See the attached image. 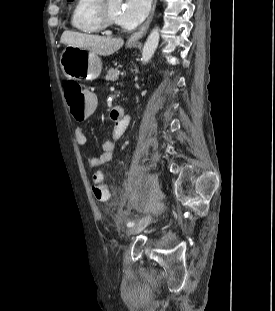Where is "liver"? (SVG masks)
<instances>
[{"instance_id": "obj_1", "label": "liver", "mask_w": 275, "mask_h": 311, "mask_svg": "<svg viewBox=\"0 0 275 311\" xmlns=\"http://www.w3.org/2000/svg\"><path fill=\"white\" fill-rule=\"evenodd\" d=\"M60 42L67 46L85 48L103 56L112 55L124 44L122 38L102 37L72 31L63 32Z\"/></svg>"}]
</instances>
